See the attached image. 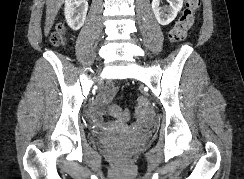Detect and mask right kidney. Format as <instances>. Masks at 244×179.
<instances>
[{
    "instance_id": "ca27d5eb",
    "label": "right kidney",
    "mask_w": 244,
    "mask_h": 179,
    "mask_svg": "<svg viewBox=\"0 0 244 179\" xmlns=\"http://www.w3.org/2000/svg\"><path fill=\"white\" fill-rule=\"evenodd\" d=\"M87 10V0H65L64 16L71 30H80L82 28Z\"/></svg>"
}]
</instances>
